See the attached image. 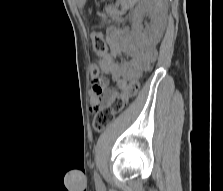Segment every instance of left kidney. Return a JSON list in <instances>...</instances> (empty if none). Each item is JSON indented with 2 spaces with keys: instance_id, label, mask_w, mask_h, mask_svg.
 <instances>
[{
  "instance_id": "left-kidney-1",
  "label": "left kidney",
  "mask_w": 223,
  "mask_h": 191,
  "mask_svg": "<svg viewBox=\"0 0 223 191\" xmlns=\"http://www.w3.org/2000/svg\"><path fill=\"white\" fill-rule=\"evenodd\" d=\"M167 0H143L138 5L133 16V31L138 42L143 46H153L158 43L164 30ZM145 14L151 18L152 24L143 27Z\"/></svg>"
}]
</instances>
